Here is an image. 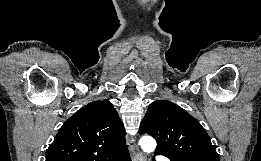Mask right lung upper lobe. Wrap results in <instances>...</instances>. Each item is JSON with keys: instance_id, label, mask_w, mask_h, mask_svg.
Instances as JSON below:
<instances>
[{"instance_id": "cb5924a9", "label": "right lung upper lobe", "mask_w": 261, "mask_h": 161, "mask_svg": "<svg viewBox=\"0 0 261 161\" xmlns=\"http://www.w3.org/2000/svg\"><path fill=\"white\" fill-rule=\"evenodd\" d=\"M125 151V130L113 105L93 101L62 125L46 161H100Z\"/></svg>"}]
</instances>
